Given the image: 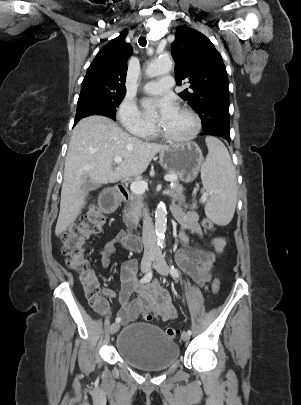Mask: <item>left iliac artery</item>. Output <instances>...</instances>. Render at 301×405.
Wrapping results in <instances>:
<instances>
[{"label": "left iliac artery", "mask_w": 301, "mask_h": 405, "mask_svg": "<svg viewBox=\"0 0 301 405\" xmlns=\"http://www.w3.org/2000/svg\"><path fill=\"white\" fill-rule=\"evenodd\" d=\"M170 274L175 280L179 278V272L173 265H170ZM187 333L191 335V330H188Z\"/></svg>", "instance_id": "obj_1"}]
</instances>
